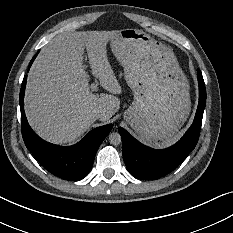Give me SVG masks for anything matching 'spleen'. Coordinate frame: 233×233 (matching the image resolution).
I'll use <instances>...</instances> for the list:
<instances>
[{
  "label": "spleen",
  "mask_w": 233,
  "mask_h": 233,
  "mask_svg": "<svg viewBox=\"0 0 233 233\" xmlns=\"http://www.w3.org/2000/svg\"><path fill=\"white\" fill-rule=\"evenodd\" d=\"M185 133L184 130H182L180 133L177 134V136L175 138H173L170 142H168L167 144L165 145H162V146H159V147H156V148H159V149H162L163 147H170L171 145L175 144L181 137L182 135Z\"/></svg>",
  "instance_id": "3e777b00"
}]
</instances>
